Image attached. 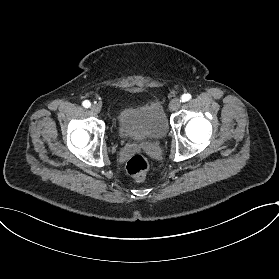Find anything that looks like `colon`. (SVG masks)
Here are the masks:
<instances>
[{
	"label": "colon",
	"mask_w": 279,
	"mask_h": 279,
	"mask_svg": "<svg viewBox=\"0 0 279 279\" xmlns=\"http://www.w3.org/2000/svg\"><path fill=\"white\" fill-rule=\"evenodd\" d=\"M149 167L150 162L148 158L141 154L132 156L126 164V170L128 174L140 180L145 177L146 173L149 170Z\"/></svg>",
	"instance_id": "colon-1"
}]
</instances>
